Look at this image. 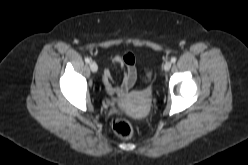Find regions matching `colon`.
Returning a JSON list of instances; mask_svg holds the SVG:
<instances>
[{
	"instance_id": "5ec220e1",
	"label": "colon",
	"mask_w": 248,
	"mask_h": 165,
	"mask_svg": "<svg viewBox=\"0 0 248 165\" xmlns=\"http://www.w3.org/2000/svg\"><path fill=\"white\" fill-rule=\"evenodd\" d=\"M112 129L116 135L125 139L131 138L134 132L132 124L123 118L115 119L112 124Z\"/></svg>"
}]
</instances>
